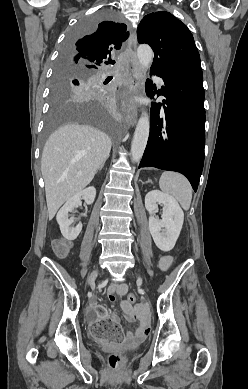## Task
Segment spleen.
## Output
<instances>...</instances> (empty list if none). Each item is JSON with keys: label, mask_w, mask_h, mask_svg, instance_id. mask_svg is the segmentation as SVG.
Here are the masks:
<instances>
[{"label": "spleen", "mask_w": 248, "mask_h": 389, "mask_svg": "<svg viewBox=\"0 0 248 389\" xmlns=\"http://www.w3.org/2000/svg\"><path fill=\"white\" fill-rule=\"evenodd\" d=\"M159 184L161 190L173 196L184 210L190 208L192 187L186 177L180 173L165 171L160 177Z\"/></svg>", "instance_id": "spleen-1"}]
</instances>
